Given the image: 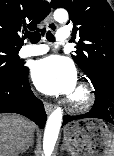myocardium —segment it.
Returning a JSON list of instances; mask_svg holds the SVG:
<instances>
[{
    "instance_id": "1",
    "label": "myocardium",
    "mask_w": 114,
    "mask_h": 156,
    "mask_svg": "<svg viewBox=\"0 0 114 156\" xmlns=\"http://www.w3.org/2000/svg\"><path fill=\"white\" fill-rule=\"evenodd\" d=\"M94 99L91 86L86 82H81L68 98L67 104L72 111L81 112L89 109L93 105Z\"/></svg>"
}]
</instances>
